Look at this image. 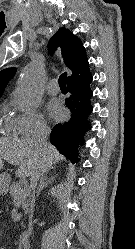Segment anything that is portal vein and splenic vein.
Returning <instances> with one entry per match:
<instances>
[{
  "label": "portal vein and splenic vein",
  "mask_w": 135,
  "mask_h": 249,
  "mask_svg": "<svg viewBox=\"0 0 135 249\" xmlns=\"http://www.w3.org/2000/svg\"><path fill=\"white\" fill-rule=\"evenodd\" d=\"M24 190H25L26 192H29V187H28V186H25V187H24Z\"/></svg>",
  "instance_id": "18ae733b"
}]
</instances>
